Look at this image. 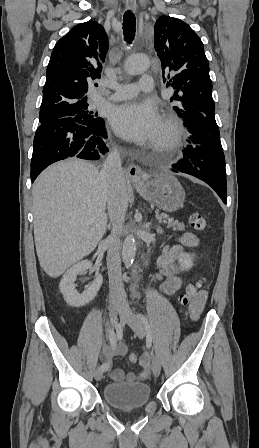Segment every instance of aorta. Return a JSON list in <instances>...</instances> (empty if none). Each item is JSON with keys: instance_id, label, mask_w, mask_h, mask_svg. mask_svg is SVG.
I'll list each match as a JSON object with an SVG mask.
<instances>
[{"instance_id": "aorta-1", "label": "aorta", "mask_w": 259, "mask_h": 448, "mask_svg": "<svg viewBox=\"0 0 259 448\" xmlns=\"http://www.w3.org/2000/svg\"><path fill=\"white\" fill-rule=\"evenodd\" d=\"M149 67V59L140 54L131 55L127 58L125 69L130 75H138L145 72ZM136 255V240L133 234L127 235L122 246V259L126 267L133 264Z\"/></svg>"}]
</instances>
